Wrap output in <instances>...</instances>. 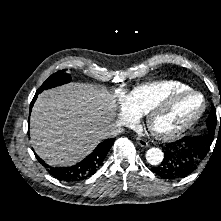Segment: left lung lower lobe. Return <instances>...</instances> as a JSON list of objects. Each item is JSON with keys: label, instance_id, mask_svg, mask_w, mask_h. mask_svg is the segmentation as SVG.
<instances>
[{"label": "left lung lower lobe", "instance_id": "1", "mask_svg": "<svg viewBox=\"0 0 221 221\" xmlns=\"http://www.w3.org/2000/svg\"><path fill=\"white\" fill-rule=\"evenodd\" d=\"M206 150L197 136L183 137L166 145L163 161L152 170L164 179L184 178L197 169L205 158Z\"/></svg>", "mask_w": 221, "mask_h": 221}]
</instances>
